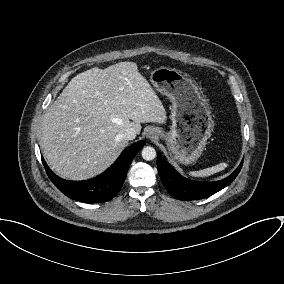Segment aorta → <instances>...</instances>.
<instances>
[{
    "instance_id": "obj_1",
    "label": "aorta",
    "mask_w": 284,
    "mask_h": 284,
    "mask_svg": "<svg viewBox=\"0 0 284 284\" xmlns=\"http://www.w3.org/2000/svg\"><path fill=\"white\" fill-rule=\"evenodd\" d=\"M156 157V151L151 146H146L142 149V158L146 161H151Z\"/></svg>"
}]
</instances>
